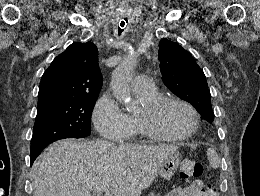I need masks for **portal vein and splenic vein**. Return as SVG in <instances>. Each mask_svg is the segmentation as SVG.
Here are the masks:
<instances>
[{
	"instance_id": "portal-vein-and-splenic-vein-1",
	"label": "portal vein and splenic vein",
	"mask_w": 260,
	"mask_h": 196,
	"mask_svg": "<svg viewBox=\"0 0 260 196\" xmlns=\"http://www.w3.org/2000/svg\"><path fill=\"white\" fill-rule=\"evenodd\" d=\"M96 196H102V192H98ZM104 196H114L113 190H107V192H104Z\"/></svg>"
}]
</instances>
